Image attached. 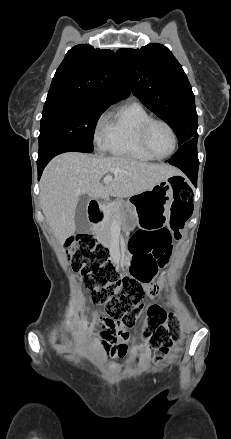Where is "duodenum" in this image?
<instances>
[{"label":"duodenum","instance_id":"obj_1","mask_svg":"<svg viewBox=\"0 0 231 439\" xmlns=\"http://www.w3.org/2000/svg\"><path fill=\"white\" fill-rule=\"evenodd\" d=\"M101 205L97 201L89 203V219L92 223H96L99 218Z\"/></svg>","mask_w":231,"mask_h":439}]
</instances>
